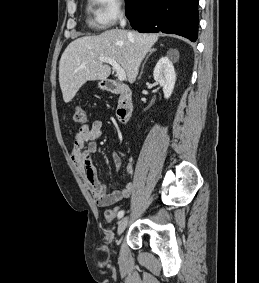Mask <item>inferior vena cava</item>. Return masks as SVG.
<instances>
[{"label": "inferior vena cava", "mask_w": 259, "mask_h": 283, "mask_svg": "<svg viewBox=\"0 0 259 283\" xmlns=\"http://www.w3.org/2000/svg\"><path fill=\"white\" fill-rule=\"evenodd\" d=\"M125 25H126V20H125V18L121 17V19H120V26L124 27Z\"/></svg>", "instance_id": "1"}]
</instances>
